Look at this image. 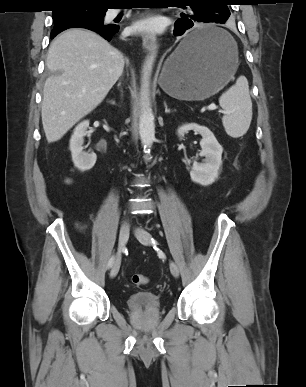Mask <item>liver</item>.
Wrapping results in <instances>:
<instances>
[{
  "label": "liver",
  "mask_w": 306,
  "mask_h": 387,
  "mask_svg": "<svg viewBox=\"0 0 306 387\" xmlns=\"http://www.w3.org/2000/svg\"><path fill=\"white\" fill-rule=\"evenodd\" d=\"M42 124L49 143L60 140L93 111L121 76L124 58L95 32L69 29L50 44Z\"/></svg>",
  "instance_id": "1"
}]
</instances>
